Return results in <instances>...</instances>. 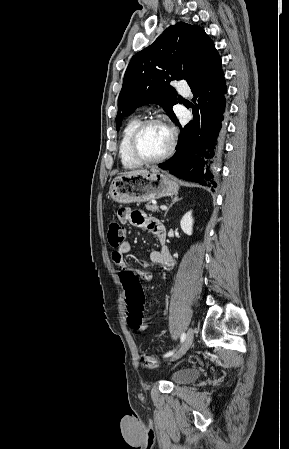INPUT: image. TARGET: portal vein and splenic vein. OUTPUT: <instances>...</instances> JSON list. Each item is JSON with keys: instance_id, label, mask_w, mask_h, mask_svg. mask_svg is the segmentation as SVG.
<instances>
[{"instance_id": "1", "label": "portal vein and splenic vein", "mask_w": 289, "mask_h": 449, "mask_svg": "<svg viewBox=\"0 0 289 449\" xmlns=\"http://www.w3.org/2000/svg\"><path fill=\"white\" fill-rule=\"evenodd\" d=\"M160 208H161V210H166L167 209V207L165 205H161Z\"/></svg>"}]
</instances>
